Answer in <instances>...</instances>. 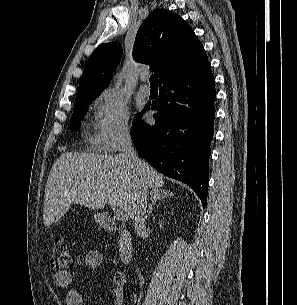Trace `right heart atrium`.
Returning <instances> with one entry per match:
<instances>
[{
    "instance_id": "1",
    "label": "right heart atrium",
    "mask_w": 297,
    "mask_h": 305,
    "mask_svg": "<svg viewBox=\"0 0 297 305\" xmlns=\"http://www.w3.org/2000/svg\"><path fill=\"white\" fill-rule=\"evenodd\" d=\"M96 109L101 147L108 152H115L132 137L130 109L124 99L111 90L104 91L96 99Z\"/></svg>"
}]
</instances>
